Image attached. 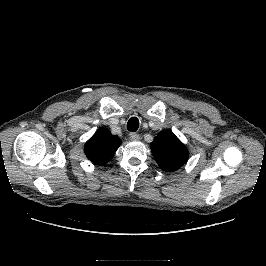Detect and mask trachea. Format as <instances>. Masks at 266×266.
<instances>
[{
  "label": "trachea",
  "instance_id": "3493384b",
  "mask_svg": "<svg viewBox=\"0 0 266 266\" xmlns=\"http://www.w3.org/2000/svg\"><path fill=\"white\" fill-rule=\"evenodd\" d=\"M139 127V120L136 117H132L129 119L127 123V129L129 131L135 132Z\"/></svg>",
  "mask_w": 266,
  "mask_h": 266
}]
</instances>
